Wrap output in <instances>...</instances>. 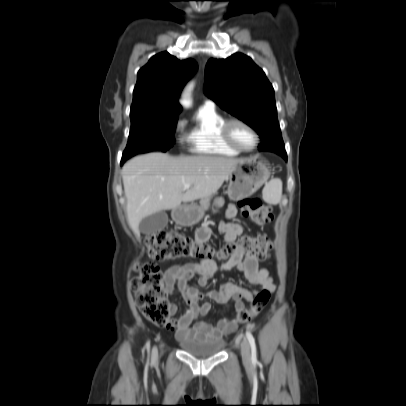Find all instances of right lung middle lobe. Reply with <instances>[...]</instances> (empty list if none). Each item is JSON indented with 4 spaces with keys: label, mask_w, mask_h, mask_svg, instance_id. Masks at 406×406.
<instances>
[{
    "label": "right lung middle lobe",
    "mask_w": 406,
    "mask_h": 406,
    "mask_svg": "<svg viewBox=\"0 0 406 406\" xmlns=\"http://www.w3.org/2000/svg\"><path fill=\"white\" fill-rule=\"evenodd\" d=\"M130 117L131 130L122 161L135 154L167 151L173 146L177 116L136 113Z\"/></svg>",
    "instance_id": "1"
}]
</instances>
